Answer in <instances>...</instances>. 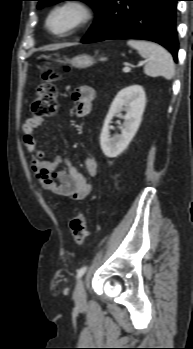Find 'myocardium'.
<instances>
[{
  "instance_id": "myocardium-1",
  "label": "myocardium",
  "mask_w": 193,
  "mask_h": 349,
  "mask_svg": "<svg viewBox=\"0 0 193 349\" xmlns=\"http://www.w3.org/2000/svg\"><path fill=\"white\" fill-rule=\"evenodd\" d=\"M70 7L76 8L79 11L80 13L79 19L69 29L62 32H54L49 26L50 18L56 11L64 8H70ZM94 16H95V10L93 6L87 1L64 0L55 4L53 7L49 9L45 17V28L53 36L58 38H65L75 34L76 32L86 27L94 19Z\"/></svg>"
}]
</instances>
